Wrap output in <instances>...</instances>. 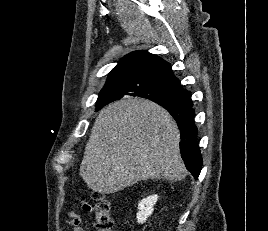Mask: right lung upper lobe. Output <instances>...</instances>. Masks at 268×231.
<instances>
[{
    "mask_svg": "<svg viewBox=\"0 0 268 231\" xmlns=\"http://www.w3.org/2000/svg\"><path fill=\"white\" fill-rule=\"evenodd\" d=\"M144 82H158L189 92L181 88V84L174 76L168 62L146 51H135L126 55L109 73L107 82L101 92H103L106 88L119 87L129 89ZM100 94L99 98L101 96ZM125 94L130 93L128 91L124 94L113 96L101 103L106 105L110 102L121 99ZM155 102L161 106H174L172 103L167 101Z\"/></svg>",
    "mask_w": 268,
    "mask_h": 231,
    "instance_id": "obj_1",
    "label": "right lung upper lobe"
}]
</instances>
